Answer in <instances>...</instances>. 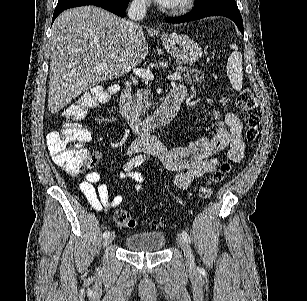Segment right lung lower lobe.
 <instances>
[{
    "instance_id": "1",
    "label": "right lung lower lobe",
    "mask_w": 307,
    "mask_h": 301,
    "mask_svg": "<svg viewBox=\"0 0 307 301\" xmlns=\"http://www.w3.org/2000/svg\"><path fill=\"white\" fill-rule=\"evenodd\" d=\"M128 2L129 0H58L52 22L64 10L84 5L102 7L118 16L124 17Z\"/></svg>"
}]
</instances>
